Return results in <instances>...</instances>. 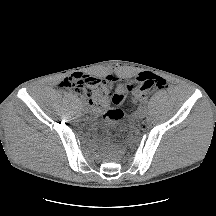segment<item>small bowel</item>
Instances as JSON below:
<instances>
[{"label":"small bowel","mask_w":216,"mask_h":216,"mask_svg":"<svg viewBox=\"0 0 216 216\" xmlns=\"http://www.w3.org/2000/svg\"><path fill=\"white\" fill-rule=\"evenodd\" d=\"M79 76H82V74H80V73H76V74H74L72 77H79ZM140 77V76H139ZM107 79L110 81V82H116L118 79L117 78H115L114 76H112V75H108L107 76Z\"/></svg>","instance_id":"1"}]
</instances>
